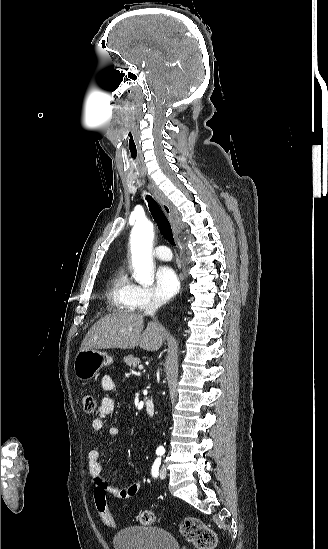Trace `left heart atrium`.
Instances as JSON below:
<instances>
[{"instance_id":"1","label":"left heart atrium","mask_w":328,"mask_h":549,"mask_svg":"<svg viewBox=\"0 0 328 549\" xmlns=\"http://www.w3.org/2000/svg\"><path fill=\"white\" fill-rule=\"evenodd\" d=\"M156 286L164 299L172 297L179 288L175 272L170 267H162L156 275Z\"/></svg>"}]
</instances>
